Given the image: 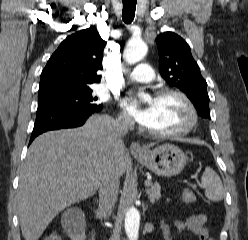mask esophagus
Masks as SVG:
<instances>
[{
	"mask_svg": "<svg viewBox=\"0 0 248 240\" xmlns=\"http://www.w3.org/2000/svg\"><path fill=\"white\" fill-rule=\"evenodd\" d=\"M130 151L132 154L141 155L145 153V150L141 147L138 142H132L130 145Z\"/></svg>",
	"mask_w": 248,
	"mask_h": 240,
	"instance_id": "1",
	"label": "esophagus"
}]
</instances>
